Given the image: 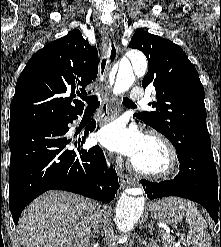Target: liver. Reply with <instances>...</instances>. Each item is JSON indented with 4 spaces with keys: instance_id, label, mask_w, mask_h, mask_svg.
Here are the masks:
<instances>
[{
    "instance_id": "6515ba94",
    "label": "liver",
    "mask_w": 221,
    "mask_h": 247,
    "mask_svg": "<svg viewBox=\"0 0 221 247\" xmlns=\"http://www.w3.org/2000/svg\"><path fill=\"white\" fill-rule=\"evenodd\" d=\"M96 210L105 212L80 195L48 191L22 212L19 240L24 247H87Z\"/></svg>"
}]
</instances>
